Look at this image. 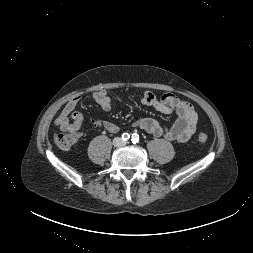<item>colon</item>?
I'll use <instances>...</instances> for the list:
<instances>
[{"label": "colon", "mask_w": 253, "mask_h": 253, "mask_svg": "<svg viewBox=\"0 0 253 253\" xmlns=\"http://www.w3.org/2000/svg\"><path fill=\"white\" fill-rule=\"evenodd\" d=\"M208 139V135L201 131L198 134V140L205 142ZM55 143L61 149H69L73 145V136L69 132H62L55 136Z\"/></svg>", "instance_id": "5ec220e1"}]
</instances>
